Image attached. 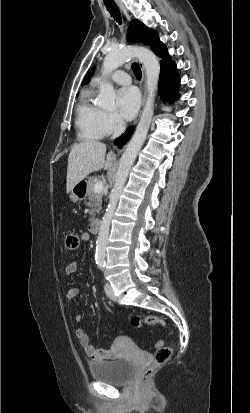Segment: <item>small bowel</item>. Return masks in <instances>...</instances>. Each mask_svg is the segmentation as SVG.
<instances>
[{"instance_id":"c3829d8e","label":"small bowel","mask_w":250,"mask_h":413,"mask_svg":"<svg viewBox=\"0 0 250 413\" xmlns=\"http://www.w3.org/2000/svg\"><path fill=\"white\" fill-rule=\"evenodd\" d=\"M83 240H87L88 236L83 235L82 236ZM77 263L75 261H69L67 262L65 266V274L66 275H71L77 271ZM78 295V289L77 288H70L66 292V298L68 301H73L75 297ZM83 319L82 314H77L75 316V320L77 322H81ZM76 336L78 338V341L80 345L83 347L85 350L86 354L89 356L94 361H102V360H109L113 359L117 356L118 354V348L120 343L122 342L121 337H117L114 341V345L109 348V349H97L95 348L91 343H90V338L88 334L81 328L76 330Z\"/></svg>"}]
</instances>
